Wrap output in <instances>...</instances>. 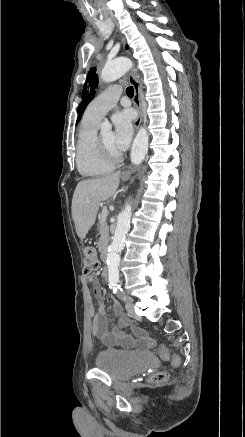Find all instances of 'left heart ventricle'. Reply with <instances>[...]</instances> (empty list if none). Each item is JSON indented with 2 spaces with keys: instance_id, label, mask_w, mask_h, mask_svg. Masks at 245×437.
I'll return each instance as SVG.
<instances>
[{
  "instance_id": "obj_1",
  "label": "left heart ventricle",
  "mask_w": 245,
  "mask_h": 437,
  "mask_svg": "<svg viewBox=\"0 0 245 437\" xmlns=\"http://www.w3.org/2000/svg\"><path fill=\"white\" fill-rule=\"evenodd\" d=\"M100 139L103 142V144L105 145V147L114 154H117L118 152L116 151L115 147H114V139H113V133L112 132H105L102 135H100Z\"/></svg>"
}]
</instances>
